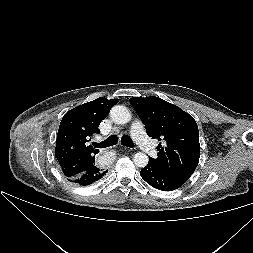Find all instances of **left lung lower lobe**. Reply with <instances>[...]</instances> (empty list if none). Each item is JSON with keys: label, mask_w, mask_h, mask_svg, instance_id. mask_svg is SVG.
Returning a JSON list of instances; mask_svg holds the SVG:
<instances>
[{"label": "left lung lower lobe", "mask_w": 253, "mask_h": 253, "mask_svg": "<svg viewBox=\"0 0 253 253\" xmlns=\"http://www.w3.org/2000/svg\"><path fill=\"white\" fill-rule=\"evenodd\" d=\"M140 174L143 180H145L149 185L162 191L175 190L185 183L166 173L150 161L147 166L141 170Z\"/></svg>", "instance_id": "1"}]
</instances>
